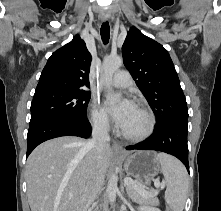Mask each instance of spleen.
<instances>
[{
    "label": "spleen",
    "instance_id": "spleen-1",
    "mask_svg": "<svg viewBox=\"0 0 221 211\" xmlns=\"http://www.w3.org/2000/svg\"><path fill=\"white\" fill-rule=\"evenodd\" d=\"M167 189L165 200L172 211H183L188 194V174L183 164L165 153L157 154Z\"/></svg>",
    "mask_w": 221,
    "mask_h": 211
}]
</instances>
